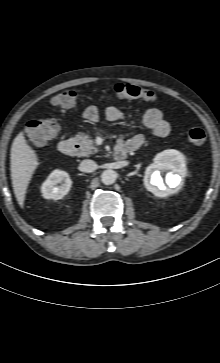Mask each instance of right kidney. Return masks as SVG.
<instances>
[{"label": "right kidney", "instance_id": "obj_1", "mask_svg": "<svg viewBox=\"0 0 220 363\" xmlns=\"http://www.w3.org/2000/svg\"><path fill=\"white\" fill-rule=\"evenodd\" d=\"M71 185L68 173L54 170L42 184L41 192L46 199L59 200L69 192Z\"/></svg>", "mask_w": 220, "mask_h": 363}]
</instances>
